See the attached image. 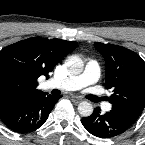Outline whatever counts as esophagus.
<instances>
[{
    "label": "esophagus",
    "instance_id": "34e87169",
    "mask_svg": "<svg viewBox=\"0 0 145 145\" xmlns=\"http://www.w3.org/2000/svg\"><path fill=\"white\" fill-rule=\"evenodd\" d=\"M71 101L75 104L80 103L81 101H83V99L80 96L77 95H72L71 96Z\"/></svg>",
    "mask_w": 145,
    "mask_h": 145
}]
</instances>
